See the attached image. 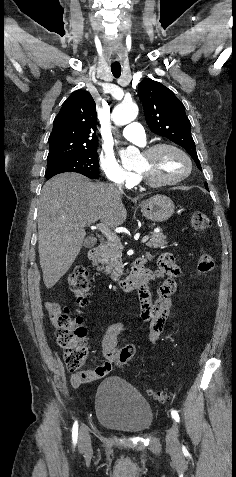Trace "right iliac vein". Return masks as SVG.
I'll return each mask as SVG.
<instances>
[{
  "instance_id": "1",
  "label": "right iliac vein",
  "mask_w": 236,
  "mask_h": 477,
  "mask_svg": "<svg viewBox=\"0 0 236 477\" xmlns=\"http://www.w3.org/2000/svg\"><path fill=\"white\" fill-rule=\"evenodd\" d=\"M79 447L83 451H86L90 448V436L85 428L80 429Z\"/></svg>"
}]
</instances>
